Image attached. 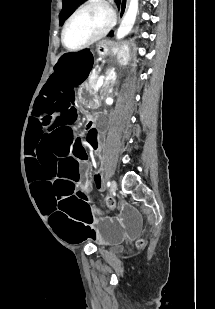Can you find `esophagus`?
<instances>
[{"label": "esophagus", "mask_w": 215, "mask_h": 309, "mask_svg": "<svg viewBox=\"0 0 215 309\" xmlns=\"http://www.w3.org/2000/svg\"><path fill=\"white\" fill-rule=\"evenodd\" d=\"M128 7V0H121L120 11H119V20L121 21L126 13Z\"/></svg>", "instance_id": "34e87169"}]
</instances>
